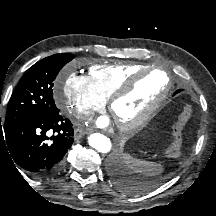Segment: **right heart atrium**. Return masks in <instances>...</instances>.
<instances>
[{"label": "right heart atrium", "instance_id": "1", "mask_svg": "<svg viewBox=\"0 0 216 216\" xmlns=\"http://www.w3.org/2000/svg\"><path fill=\"white\" fill-rule=\"evenodd\" d=\"M54 100L67 117L88 118L104 108L106 100L92 86L89 76L66 71L54 89Z\"/></svg>", "mask_w": 216, "mask_h": 216}]
</instances>
